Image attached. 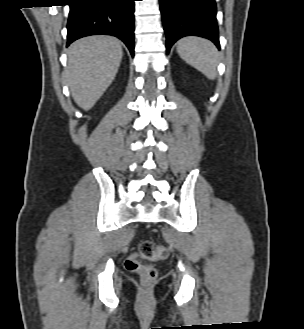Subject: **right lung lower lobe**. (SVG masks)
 <instances>
[{
	"label": "right lung lower lobe",
	"instance_id": "obj_1",
	"mask_svg": "<svg viewBox=\"0 0 304 329\" xmlns=\"http://www.w3.org/2000/svg\"><path fill=\"white\" fill-rule=\"evenodd\" d=\"M67 44L96 34L116 36L134 55L135 0H69Z\"/></svg>",
	"mask_w": 304,
	"mask_h": 329
}]
</instances>
